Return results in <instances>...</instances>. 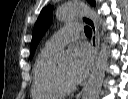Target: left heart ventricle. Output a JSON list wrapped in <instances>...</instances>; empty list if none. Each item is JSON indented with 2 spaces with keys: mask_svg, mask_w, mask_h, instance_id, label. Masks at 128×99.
<instances>
[{
  "mask_svg": "<svg viewBox=\"0 0 128 99\" xmlns=\"http://www.w3.org/2000/svg\"><path fill=\"white\" fill-rule=\"evenodd\" d=\"M62 73L64 74V76L66 77V79L70 82H73L71 77H70V68H71V63L70 62H66L62 65L59 66Z\"/></svg>",
  "mask_w": 128,
  "mask_h": 99,
  "instance_id": "left-heart-ventricle-1",
  "label": "left heart ventricle"
}]
</instances>
